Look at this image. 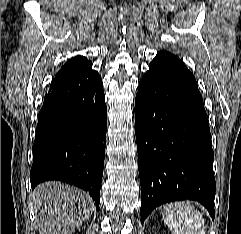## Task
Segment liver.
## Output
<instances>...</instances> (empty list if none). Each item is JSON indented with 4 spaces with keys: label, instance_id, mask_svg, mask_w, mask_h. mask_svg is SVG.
<instances>
[{
    "label": "liver",
    "instance_id": "obj_1",
    "mask_svg": "<svg viewBox=\"0 0 241 234\" xmlns=\"http://www.w3.org/2000/svg\"><path fill=\"white\" fill-rule=\"evenodd\" d=\"M31 199L40 234H73L94 208L87 193L56 181L41 183Z\"/></svg>",
    "mask_w": 241,
    "mask_h": 234
}]
</instances>
